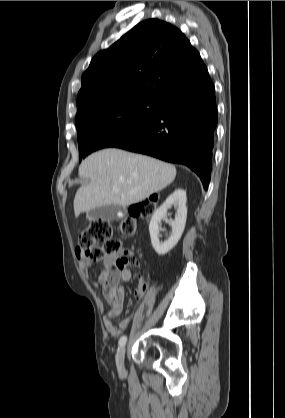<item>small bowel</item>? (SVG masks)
Returning a JSON list of instances; mask_svg holds the SVG:
<instances>
[{"label": "small bowel", "instance_id": "small-bowel-1", "mask_svg": "<svg viewBox=\"0 0 285 418\" xmlns=\"http://www.w3.org/2000/svg\"><path fill=\"white\" fill-rule=\"evenodd\" d=\"M103 265L109 271V281L102 287L104 298L106 299L110 310L104 314L103 321L107 333L112 337L119 336L128 321L127 319L122 320L119 324L113 323L114 317H120L123 314V301H124V288L119 286V283H128L132 279V273L128 268H115L112 266V259L109 256L102 258ZM79 267L82 275L91 280V283L95 287L100 286L102 277L99 276L97 279H91L90 269L92 264L89 262L81 261ZM145 290V282L143 278L139 279L138 286L135 289V296L140 298Z\"/></svg>", "mask_w": 285, "mask_h": 418}]
</instances>
